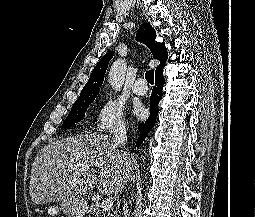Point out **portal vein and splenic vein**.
Returning <instances> with one entry per match:
<instances>
[{"label": "portal vein and splenic vein", "mask_w": 255, "mask_h": 217, "mask_svg": "<svg viewBox=\"0 0 255 217\" xmlns=\"http://www.w3.org/2000/svg\"><path fill=\"white\" fill-rule=\"evenodd\" d=\"M86 168L84 166H81V165H71L68 167V171L69 172H72L74 170H85ZM113 206V201L112 199L108 198V199H105L102 201L101 205H100V208L102 211L106 212L108 210H110Z\"/></svg>", "instance_id": "portal-vein-and-splenic-vein-1"}]
</instances>
